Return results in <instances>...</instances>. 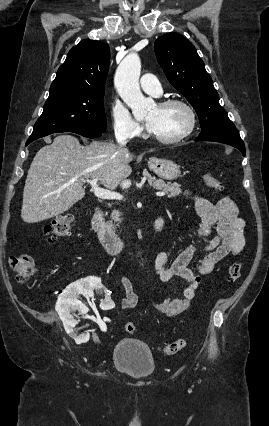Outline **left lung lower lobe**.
Segmentation results:
<instances>
[{"label":"left lung lower lobe","instance_id":"obj_1","mask_svg":"<svg viewBox=\"0 0 269 426\" xmlns=\"http://www.w3.org/2000/svg\"><path fill=\"white\" fill-rule=\"evenodd\" d=\"M195 141H214V142L228 144L239 149L242 152L243 156H245V152H246L245 145L237 129L229 130L223 133H218L212 137L198 136V138L195 139Z\"/></svg>","mask_w":269,"mask_h":426}]
</instances>
